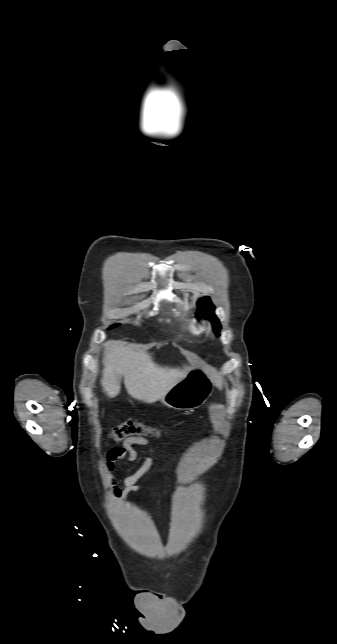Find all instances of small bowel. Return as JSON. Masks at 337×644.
Returning a JSON list of instances; mask_svg holds the SVG:
<instances>
[{
    "label": "small bowel",
    "instance_id": "1",
    "mask_svg": "<svg viewBox=\"0 0 337 644\" xmlns=\"http://www.w3.org/2000/svg\"><path fill=\"white\" fill-rule=\"evenodd\" d=\"M148 446L149 442L145 438L130 437L127 438L121 447H115L109 450L106 456L105 469L108 473V484L110 487L111 498L118 501L122 496V491L116 486V480L112 476L114 464L117 460L125 459L127 461H135L138 458V452L134 446ZM153 449H149L148 455L143 459L140 467L131 475L123 480L124 490L126 492L137 490V481L150 469L153 464Z\"/></svg>",
    "mask_w": 337,
    "mask_h": 644
}]
</instances>
